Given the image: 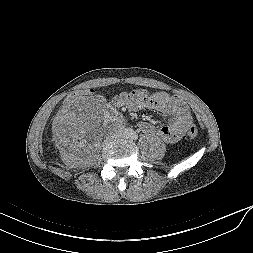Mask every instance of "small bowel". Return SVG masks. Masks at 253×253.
<instances>
[{"label":"small bowel","mask_w":253,"mask_h":253,"mask_svg":"<svg viewBox=\"0 0 253 253\" xmlns=\"http://www.w3.org/2000/svg\"><path fill=\"white\" fill-rule=\"evenodd\" d=\"M113 103L117 107H127L131 110L153 109L169 117V121L160 127L156 134L165 142L175 143L185 134L192 117L187 104L166 92L149 93L145 90L122 92L115 96ZM140 129L152 133L155 128L148 122H141Z\"/></svg>","instance_id":"small-bowel-1"}]
</instances>
